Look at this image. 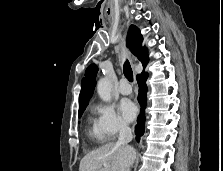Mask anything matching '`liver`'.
Wrapping results in <instances>:
<instances>
[{
	"label": "liver",
	"mask_w": 223,
	"mask_h": 171,
	"mask_svg": "<svg viewBox=\"0 0 223 171\" xmlns=\"http://www.w3.org/2000/svg\"><path fill=\"white\" fill-rule=\"evenodd\" d=\"M135 158L134 148L107 143L85 155L79 171H127Z\"/></svg>",
	"instance_id": "liver-1"
}]
</instances>
